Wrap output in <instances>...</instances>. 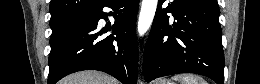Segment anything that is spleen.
Segmentation results:
<instances>
[{
  "instance_id": "obj_1",
  "label": "spleen",
  "mask_w": 260,
  "mask_h": 84,
  "mask_svg": "<svg viewBox=\"0 0 260 84\" xmlns=\"http://www.w3.org/2000/svg\"><path fill=\"white\" fill-rule=\"evenodd\" d=\"M173 79L180 81L181 84H207L202 77L190 73L175 75Z\"/></svg>"
}]
</instances>
